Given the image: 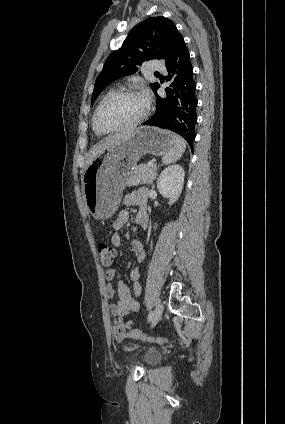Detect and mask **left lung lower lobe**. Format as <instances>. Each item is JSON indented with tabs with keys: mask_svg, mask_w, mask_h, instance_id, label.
Masks as SVG:
<instances>
[{
	"mask_svg": "<svg viewBox=\"0 0 285 424\" xmlns=\"http://www.w3.org/2000/svg\"><path fill=\"white\" fill-rule=\"evenodd\" d=\"M172 88H166V97H160L156 91L157 109L155 114L143 125L157 126L169 129L186 139L193 151L195 139V124L197 121L195 96L196 83L193 79V67L190 63L189 52L181 36L166 60Z\"/></svg>",
	"mask_w": 285,
	"mask_h": 424,
	"instance_id": "0a47b994",
	"label": "left lung lower lobe"
}]
</instances>
